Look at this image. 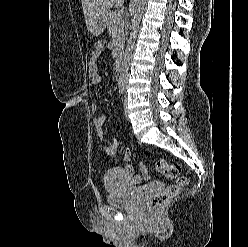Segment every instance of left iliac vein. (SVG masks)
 <instances>
[{"label":"left iliac vein","instance_id":"4c4485c4","mask_svg":"<svg viewBox=\"0 0 248 247\" xmlns=\"http://www.w3.org/2000/svg\"><path fill=\"white\" fill-rule=\"evenodd\" d=\"M123 106H124L125 116H126V118H127L128 113H127V98H126V96H125L124 99H123Z\"/></svg>","mask_w":248,"mask_h":247}]
</instances>
